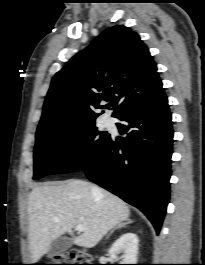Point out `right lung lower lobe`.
<instances>
[{
  "instance_id": "1",
  "label": "right lung lower lobe",
  "mask_w": 205,
  "mask_h": 265,
  "mask_svg": "<svg viewBox=\"0 0 205 265\" xmlns=\"http://www.w3.org/2000/svg\"><path fill=\"white\" fill-rule=\"evenodd\" d=\"M117 123L125 138L110 137L83 169L87 177L140 209L159 233L170 194L173 143L171 113L164 90Z\"/></svg>"
}]
</instances>
